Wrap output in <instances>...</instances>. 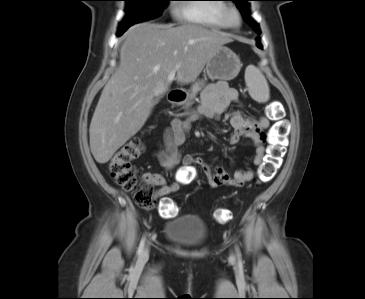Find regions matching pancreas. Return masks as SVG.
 Segmentation results:
<instances>
[{"label": "pancreas", "mask_w": 365, "mask_h": 299, "mask_svg": "<svg viewBox=\"0 0 365 299\" xmlns=\"http://www.w3.org/2000/svg\"><path fill=\"white\" fill-rule=\"evenodd\" d=\"M205 86V81L204 80H199L196 81L192 86H191V90H190V94H189V100H192L196 97V95L198 94V92H200L203 87ZM192 104V102L188 101L186 104V107H189Z\"/></svg>", "instance_id": "obj_1"}]
</instances>
